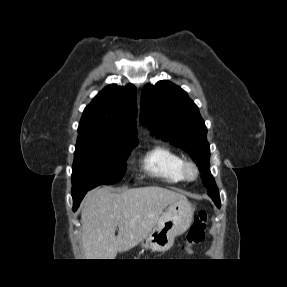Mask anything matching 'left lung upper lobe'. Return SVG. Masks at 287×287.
Segmentation results:
<instances>
[{"label": "left lung upper lobe", "instance_id": "obj_1", "mask_svg": "<svg viewBox=\"0 0 287 287\" xmlns=\"http://www.w3.org/2000/svg\"><path fill=\"white\" fill-rule=\"evenodd\" d=\"M141 119L156 135L190 154L202 172L208 195L216 206H221L218 188L209 170L207 128L187 93L166 80L147 84L141 95Z\"/></svg>", "mask_w": 287, "mask_h": 287}]
</instances>
